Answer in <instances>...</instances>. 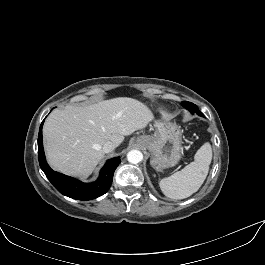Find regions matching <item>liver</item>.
Returning <instances> with one entry per match:
<instances>
[{
    "instance_id": "obj_1",
    "label": "liver",
    "mask_w": 265,
    "mask_h": 265,
    "mask_svg": "<svg viewBox=\"0 0 265 265\" xmlns=\"http://www.w3.org/2000/svg\"><path fill=\"white\" fill-rule=\"evenodd\" d=\"M152 120L153 113L144 103L128 97L54 110L43 126L48 163L64 174L87 178L103 158L106 142L117 147L124 136Z\"/></svg>"
}]
</instances>
